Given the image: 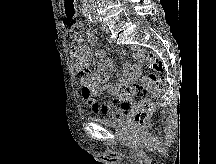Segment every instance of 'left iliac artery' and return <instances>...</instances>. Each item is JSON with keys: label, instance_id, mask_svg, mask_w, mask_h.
Wrapping results in <instances>:
<instances>
[{"label": "left iliac artery", "instance_id": "44dca946", "mask_svg": "<svg viewBox=\"0 0 216 164\" xmlns=\"http://www.w3.org/2000/svg\"><path fill=\"white\" fill-rule=\"evenodd\" d=\"M97 21H98V22H101L102 20H101V19H97Z\"/></svg>", "mask_w": 216, "mask_h": 164}]
</instances>
